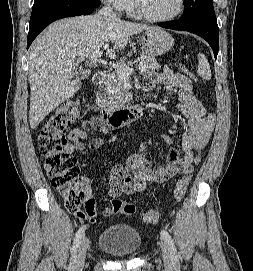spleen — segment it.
<instances>
[{"label": "spleen", "mask_w": 253, "mask_h": 271, "mask_svg": "<svg viewBox=\"0 0 253 271\" xmlns=\"http://www.w3.org/2000/svg\"><path fill=\"white\" fill-rule=\"evenodd\" d=\"M198 74L200 77L206 80L211 79L210 65L206 56L202 53L198 54Z\"/></svg>", "instance_id": "3e777b00"}]
</instances>
